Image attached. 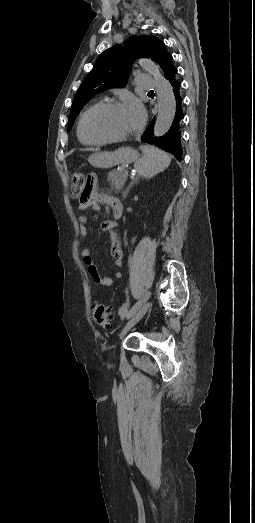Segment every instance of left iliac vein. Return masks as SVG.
<instances>
[{"label": "left iliac vein", "mask_w": 255, "mask_h": 523, "mask_svg": "<svg viewBox=\"0 0 255 523\" xmlns=\"http://www.w3.org/2000/svg\"><path fill=\"white\" fill-rule=\"evenodd\" d=\"M151 303L146 302L143 304L142 307L133 315V317L127 322L125 327L123 328L120 338H123V336L138 322L140 319L146 314L148 309L150 308Z\"/></svg>", "instance_id": "1"}]
</instances>
